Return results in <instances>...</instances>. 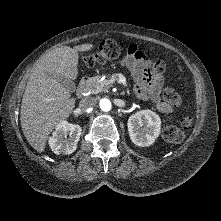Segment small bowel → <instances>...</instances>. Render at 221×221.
<instances>
[{
    "label": "small bowel",
    "mask_w": 221,
    "mask_h": 221,
    "mask_svg": "<svg viewBox=\"0 0 221 221\" xmlns=\"http://www.w3.org/2000/svg\"><path fill=\"white\" fill-rule=\"evenodd\" d=\"M120 63L131 71L135 79L134 91L139 99L153 101L155 108L162 113L173 111V106L161 99L163 77L150 73L151 62L136 44L128 47Z\"/></svg>",
    "instance_id": "c3829d8e"
}]
</instances>
